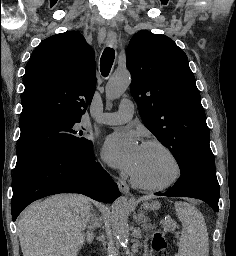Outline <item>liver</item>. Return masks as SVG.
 Listing matches in <instances>:
<instances>
[{"mask_svg": "<svg viewBox=\"0 0 236 256\" xmlns=\"http://www.w3.org/2000/svg\"><path fill=\"white\" fill-rule=\"evenodd\" d=\"M92 210L88 198L57 194L28 206L18 220L23 256H77Z\"/></svg>", "mask_w": 236, "mask_h": 256, "instance_id": "6515ba94", "label": "liver"}]
</instances>
